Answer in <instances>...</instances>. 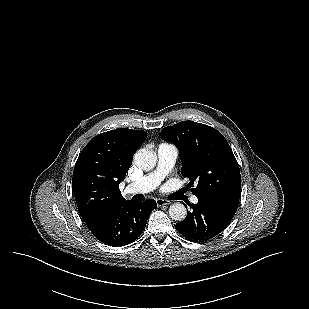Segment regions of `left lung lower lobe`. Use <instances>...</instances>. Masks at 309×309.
<instances>
[{"label":"left lung lower lobe","mask_w":309,"mask_h":309,"mask_svg":"<svg viewBox=\"0 0 309 309\" xmlns=\"http://www.w3.org/2000/svg\"><path fill=\"white\" fill-rule=\"evenodd\" d=\"M197 204H189L192 211L176 224V230L195 242L210 240L221 233L234 217L239 201L214 196H197Z\"/></svg>","instance_id":"1"}]
</instances>
